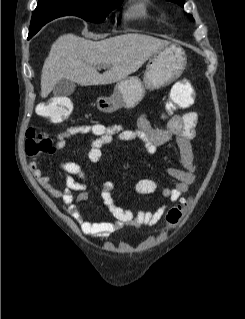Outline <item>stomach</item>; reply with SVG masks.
Instances as JSON below:
<instances>
[{
    "instance_id": "obj_1",
    "label": "stomach",
    "mask_w": 245,
    "mask_h": 319,
    "mask_svg": "<svg viewBox=\"0 0 245 319\" xmlns=\"http://www.w3.org/2000/svg\"><path fill=\"white\" fill-rule=\"evenodd\" d=\"M186 65L185 51L178 45H167L150 57L142 79L132 76L117 82L110 97L97 99V108L104 113H113L120 108L132 109L147 90H158L180 77Z\"/></svg>"
}]
</instances>
